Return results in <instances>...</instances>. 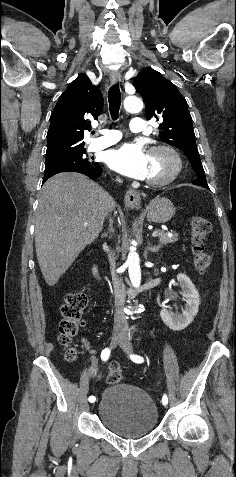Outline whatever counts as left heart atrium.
Listing matches in <instances>:
<instances>
[{
    "instance_id": "39dd6f15",
    "label": "left heart atrium",
    "mask_w": 236,
    "mask_h": 477,
    "mask_svg": "<svg viewBox=\"0 0 236 477\" xmlns=\"http://www.w3.org/2000/svg\"><path fill=\"white\" fill-rule=\"evenodd\" d=\"M107 164L115 171L135 179H146L149 154L138 143H125L107 152Z\"/></svg>"
}]
</instances>
